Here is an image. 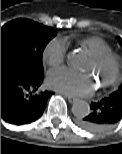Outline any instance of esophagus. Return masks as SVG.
I'll return each mask as SVG.
<instances>
[{"mask_svg": "<svg viewBox=\"0 0 122 154\" xmlns=\"http://www.w3.org/2000/svg\"><path fill=\"white\" fill-rule=\"evenodd\" d=\"M60 94L64 95V97H66L70 103H74V102L77 101V98H74V97H71V96H67V95H65L63 93H60Z\"/></svg>", "mask_w": 122, "mask_h": 154, "instance_id": "1", "label": "esophagus"}]
</instances>
